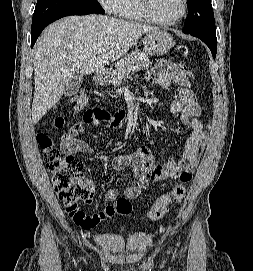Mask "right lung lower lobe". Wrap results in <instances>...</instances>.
Here are the masks:
<instances>
[{
    "instance_id": "obj_1",
    "label": "right lung lower lobe",
    "mask_w": 253,
    "mask_h": 271,
    "mask_svg": "<svg viewBox=\"0 0 253 271\" xmlns=\"http://www.w3.org/2000/svg\"><path fill=\"white\" fill-rule=\"evenodd\" d=\"M69 15H78V14H73V13H68V14H63V15H60V16H57V17H54L52 19H49L47 20L45 23L41 24L39 27H37L36 29L34 30H31V47H33V45L35 44L38 36L40 35V33L42 32V30L47 26L49 25L50 23L62 18V17H65V16H69Z\"/></svg>"
}]
</instances>
